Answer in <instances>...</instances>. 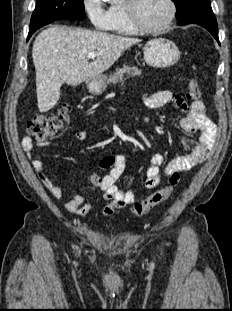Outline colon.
<instances>
[{
  "instance_id": "obj_1",
  "label": "colon",
  "mask_w": 232,
  "mask_h": 311,
  "mask_svg": "<svg viewBox=\"0 0 232 311\" xmlns=\"http://www.w3.org/2000/svg\"><path fill=\"white\" fill-rule=\"evenodd\" d=\"M200 89L195 81H191L187 87L186 98L190 102L199 100ZM71 107L65 105L52 116L37 115L28 124L27 131L30 135L39 139H47L53 136L68 120ZM180 179L179 173H173L169 184L152 193L147 198L134 203L133 212L137 216H142L163 202L167 201L177 186Z\"/></svg>"
}]
</instances>
